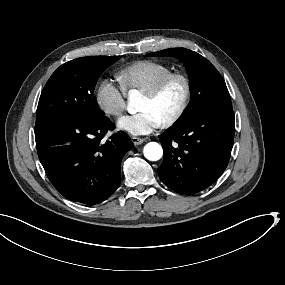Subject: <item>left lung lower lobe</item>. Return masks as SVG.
Returning a JSON list of instances; mask_svg holds the SVG:
<instances>
[{
    "label": "left lung lower lobe",
    "mask_w": 285,
    "mask_h": 285,
    "mask_svg": "<svg viewBox=\"0 0 285 285\" xmlns=\"http://www.w3.org/2000/svg\"><path fill=\"white\" fill-rule=\"evenodd\" d=\"M233 111L211 110L174 124L160 135L164 160L161 181L182 195H193L212 185L225 171L234 141Z\"/></svg>",
    "instance_id": "1"
}]
</instances>
